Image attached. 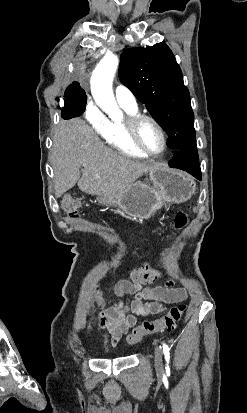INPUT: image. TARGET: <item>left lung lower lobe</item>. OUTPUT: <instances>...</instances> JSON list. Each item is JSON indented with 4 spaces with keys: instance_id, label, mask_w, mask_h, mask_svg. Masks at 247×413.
I'll return each instance as SVG.
<instances>
[{
    "instance_id": "obj_1",
    "label": "left lung lower lobe",
    "mask_w": 247,
    "mask_h": 413,
    "mask_svg": "<svg viewBox=\"0 0 247 413\" xmlns=\"http://www.w3.org/2000/svg\"><path fill=\"white\" fill-rule=\"evenodd\" d=\"M169 166L187 171L199 180L202 179L197 148L176 151L175 156L169 162Z\"/></svg>"
}]
</instances>
